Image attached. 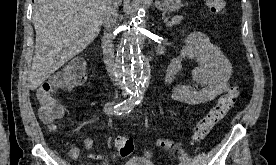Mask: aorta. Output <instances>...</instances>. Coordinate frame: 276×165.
I'll return each instance as SVG.
<instances>
[{
    "mask_svg": "<svg viewBox=\"0 0 276 165\" xmlns=\"http://www.w3.org/2000/svg\"><path fill=\"white\" fill-rule=\"evenodd\" d=\"M117 73L131 100L143 94L149 74V64L141 52V35L136 20L125 28L121 38L118 47Z\"/></svg>",
    "mask_w": 276,
    "mask_h": 165,
    "instance_id": "762f6f07",
    "label": "aorta"
}]
</instances>
